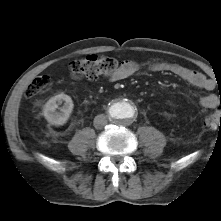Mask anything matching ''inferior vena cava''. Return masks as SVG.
I'll return each instance as SVG.
<instances>
[{"label":"inferior vena cava","instance_id":"obj_1","mask_svg":"<svg viewBox=\"0 0 221 221\" xmlns=\"http://www.w3.org/2000/svg\"><path fill=\"white\" fill-rule=\"evenodd\" d=\"M107 123H108L107 117L103 114L97 115L94 118V127L96 129L103 128L105 125H107Z\"/></svg>","mask_w":221,"mask_h":221}]
</instances>
